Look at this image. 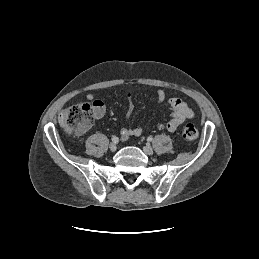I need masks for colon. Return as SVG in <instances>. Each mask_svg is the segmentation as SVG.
I'll return each instance as SVG.
<instances>
[{
    "label": "colon",
    "instance_id": "colon-1",
    "mask_svg": "<svg viewBox=\"0 0 259 259\" xmlns=\"http://www.w3.org/2000/svg\"><path fill=\"white\" fill-rule=\"evenodd\" d=\"M94 117L95 105L80 103L62 110L59 123L69 134H82L90 128ZM182 137L186 141H194L198 137V129L194 124L188 123L183 128Z\"/></svg>",
    "mask_w": 259,
    "mask_h": 259
}]
</instances>
